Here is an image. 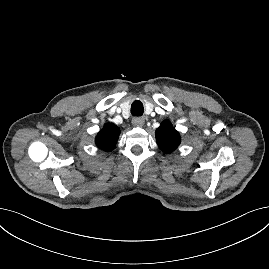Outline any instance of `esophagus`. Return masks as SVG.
<instances>
[{
	"instance_id": "34e87169",
	"label": "esophagus",
	"mask_w": 269,
	"mask_h": 269,
	"mask_svg": "<svg viewBox=\"0 0 269 269\" xmlns=\"http://www.w3.org/2000/svg\"><path fill=\"white\" fill-rule=\"evenodd\" d=\"M145 123V119L143 117H135L132 119V124L135 127H142Z\"/></svg>"
}]
</instances>
